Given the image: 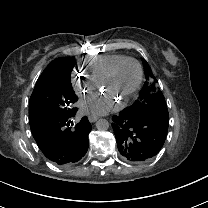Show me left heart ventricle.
Instances as JSON below:
<instances>
[{
    "label": "left heart ventricle",
    "instance_id": "left-heart-ventricle-1",
    "mask_svg": "<svg viewBox=\"0 0 208 208\" xmlns=\"http://www.w3.org/2000/svg\"><path fill=\"white\" fill-rule=\"evenodd\" d=\"M137 80V68L130 61L123 62L116 71L113 81L105 86L109 87L110 95L104 101H111L115 96L124 98L133 88ZM94 99H98L94 94Z\"/></svg>",
    "mask_w": 208,
    "mask_h": 208
}]
</instances>
